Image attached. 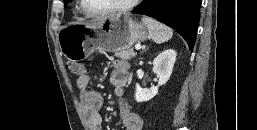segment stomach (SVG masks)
I'll use <instances>...</instances> for the list:
<instances>
[{"label": "stomach", "mask_w": 257, "mask_h": 130, "mask_svg": "<svg viewBox=\"0 0 257 130\" xmlns=\"http://www.w3.org/2000/svg\"><path fill=\"white\" fill-rule=\"evenodd\" d=\"M147 38L144 24L127 14L106 17L96 23H70L58 33L60 51L70 61L84 60L97 50L117 52Z\"/></svg>", "instance_id": "obj_1"}]
</instances>
